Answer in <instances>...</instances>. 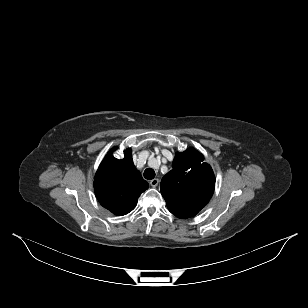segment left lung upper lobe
<instances>
[{"label":"left lung upper lobe","mask_w":308,"mask_h":308,"mask_svg":"<svg viewBox=\"0 0 308 308\" xmlns=\"http://www.w3.org/2000/svg\"><path fill=\"white\" fill-rule=\"evenodd\" d=\"M172 167L160 184L167 207L178 218L195 216L206 206L214 192L213 170L194 148L177 153Z\"/></svg>","instance_id":"5c2ea615"}]
</instances>
